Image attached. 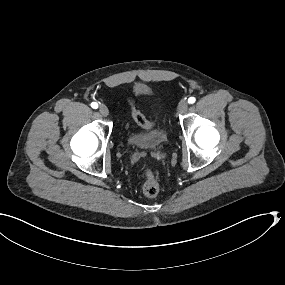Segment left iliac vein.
<instances>
[{"mask_svg":"<svg viewBox=\"0 0 285 285\" xmlns=\"http://www.w3.org/2000/svg\"><path fill=\"white\" fill-rule=\"evenodd\" d=\"M188 110V102L186 100L180 101L178 104V113L185 114Z\"/></svg>","mask_w":285,"mask_h":285,"instance_id":"1","label":"left iliac vein"}]
</instances>
